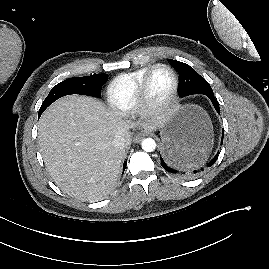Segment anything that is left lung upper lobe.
Listing matches in <instances>:
<instances>
[{"label":"left lung upper lobe","mask_w":269,"mask_h":269,"mask_svg":"<svg viewBox=\"0 0 269 269\" xmlns=\"http://www.w3.org/2000/svg\"><path fill=\"white\" fill-rule=\"evenodd\" d=\"M170 64L179 73V95L213 93L209 83L189 65L176 60L168 59Z\"/></svg>","instance_id":"5c2ea615"}]
</instances>
